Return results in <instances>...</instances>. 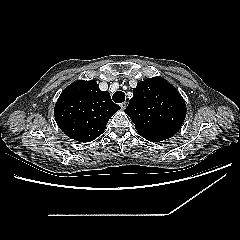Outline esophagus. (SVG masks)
Returning a JSON list of instances; mask_svg holds the SVG:
<instances>
[{"label":"esophagus","mask_w":240,"mask_h":240,"mask_svg":"<svg viewBox=\"0 0 240 240\" xmlns=\"http://www.w3.org/2000/svg\"><path fill=\"white\" fill-rule=\"evenodd\" d=\"M126 106H127V102H123L120 104V107L122 110H124L126 108Z\"/></svg>","instance_id":"1"}]
</instances>
